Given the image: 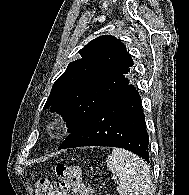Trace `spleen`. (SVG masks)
<instances>
[{"instance_id": "1", "label": "spleen", "mask_w": 189, "mask_h": 195, "mask_svg": "<svg viewBox=\"0 0 189 195\" xmlns=\"http://www.w3.org/2000/svg\"><path fill=\"white\" fill-rule=\"evenodd\" d=\"M107 168L117 176L119 195H148L150 192V167L139 156L122 148H114L108 156Z\"/></svg>"}]
</instances>
